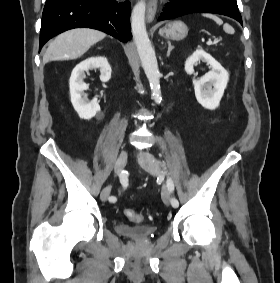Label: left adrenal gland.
<instances>
[{
	"label": "left adrenal gland",
	"instance_id": "left-adrenal-gland-1",
	"mask_svg": "<svg viewBox=\"0 0 280 283\" xmlns=\"http://www.w3.org/2000/svg\"><path fill=\"white\" fill-rule=\"evenodd\" d=\"M174 49V46L168 41V50H167V57L170 56L171 51Z\"/></svg>",
	"mask_w": 280,
	"mask_h": 283
}]
</instances>
